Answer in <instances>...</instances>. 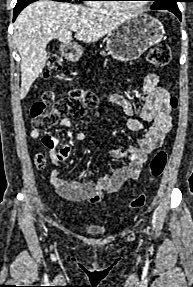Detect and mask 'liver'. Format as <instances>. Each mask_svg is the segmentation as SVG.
<instances>
[{"label": "liver", "mask_w": 193, "mask_h": 287, "mask_svg": "<svg viewBox=\"0 0 193 287\" xmlns=\"http://www.w3.org/2000/svg\"><path fill=\"white\" fill-rule=\"evenodd\" d=\"M130 13L92 8L51 0L28 5L14 23V42L21 57L20 99L25 98L48 59L46 46L52 39L70 43L72 28L78 26L75 39L98 41L126 19Z\"/></svg>", "instance_id": "1"}]
</instances>
